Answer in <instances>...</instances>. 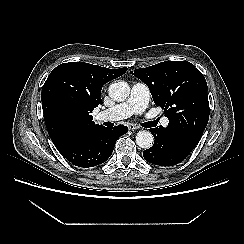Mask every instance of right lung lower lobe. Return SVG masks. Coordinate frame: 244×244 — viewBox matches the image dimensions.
<instances>
[{
  "instance_id": "98d812e1",
  "label": "right lung lower lobe",
  "mask_w": 244,
  "mask_h": 244,
  "mask_svg": "<svg viewBox=\"0 0 244 244\" xmlns=\"http://www.w3.org/2000/svg\"><path fill=\"white\" fill-rule=\"evenodd\" d=\"M128 132L126 126L100 127L72 134L55 145L69 162L89 168L104 163L112 154L117 139Z\"/></svg>"
}]
</instances>
